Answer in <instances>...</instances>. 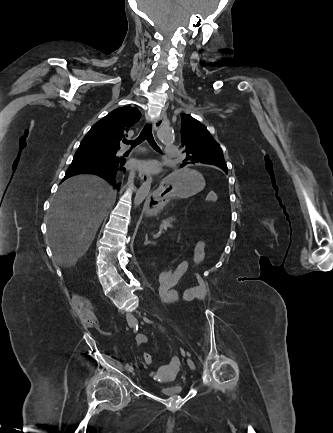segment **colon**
<instances>
[{"instance_id": "obj_1", "label": "colon", "mask_w": 333, "mask_h": 433, "mask_svg": "<svg viewBox=\"0 0 333 433\" xmlns=\"http://www.w3.org/2000/svg\"><path fill=\"white\" fill-rule=\"evenodd\" d=\"M206 200L210 202L217 201V195L215 192H209L206 196ZM174 272L171 270V266H168V270L164 269L161 274H159V284L162 287H165L167 284H170L172 280V276ZM162 293L165 291L163 288L160 290ZM163 297H166V294H163ZM73 306L76 312L77 317L81 321L84 326L93 327L96 324V318L92 311L90 310V304L88 300L81 296H74L73 298ZM144 362L148 365L153 364V357L151 354L146 353L144 355Z\"/></svg>"}]
</instances>
